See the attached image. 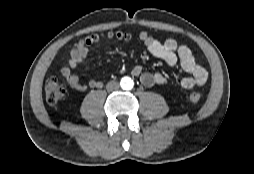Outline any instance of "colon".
I'll return each mask as SVG.
<instances>
[{
	"instance_id": "obj_1",
	"label": "colon",
	"mask_w": 254,
	"mask_h": 174,
	"mask_svg": "<svg viewBox=\"0 0 254 174\" xmlns=\"http://www.w3.org/2000/svg\"><path fill=\"white\" fill-rule=\"evenodd\" d=\"M103 38L125 41L128 40L129 35L122 32H110L108 34H92L91 36L86 38L81 45L78 44L76 47L83 46L87 48L88 46L98 43ZM44 91L47 102L50 104H55L65 96L67 92V86L65 82L61 79L57 77H51L46 80ZM188 98L190 102L198 103L201 99V95L197 92H192L189 94Z\"/></svg>"
}]
</instances>
